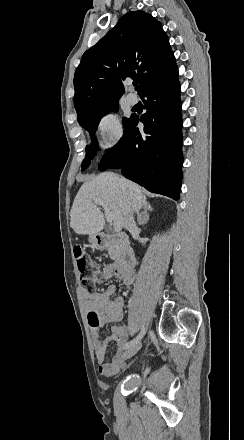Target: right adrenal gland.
I'll list each match as a JSON object with an SVG mask.
<instances>
[{"label": "right adrenal gland", "mask_w": 244, "mask_h": 440, "mask_svg": "<svg viewBox=\"0 0 244 440\" xmlns=\"http://www.w3.org/2000/svg\"><path fill=\"white\" fill-rule=\"evenodd\" d=\"M142 210H143V212H136V214L138 216L137 222H138L139 226H142V224H140V222H139L140 216H143V214H147V212H152L153 208H152V206H150V204H148V202H145V206H142Z\"/></svg>", "instance_id": "obj_1"}]
</instances>
